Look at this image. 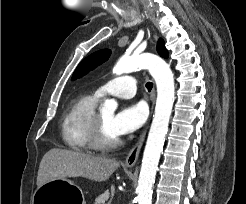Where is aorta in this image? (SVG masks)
<instances>
[{"label": "aorta", "mask_w": 246, "mask_h": 204, "mask_svg": "<svg viewBox=\"0 0 246 204\" xmlns=\"http://www.w3.org/2000/svg\"><path fill=\"white\" fill-rule=\"evenodd\" d=\"M137 68L148 69L157 86L155 114L148 134L137 187L138 204H151L153 185L163 149L168 124L174 103V78L169 65L159 56L145 53L122 56L113 68L121 75ZM117 102L106 99L99 110L103 116H113Z\"/></svg>", "instance_id": "obj_1"}]
</instances>
